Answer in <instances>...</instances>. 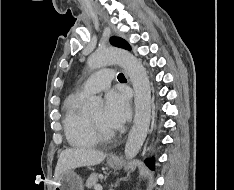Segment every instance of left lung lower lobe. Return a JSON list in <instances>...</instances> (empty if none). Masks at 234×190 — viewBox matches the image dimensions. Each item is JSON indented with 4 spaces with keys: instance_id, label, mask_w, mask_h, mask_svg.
<instances>
[{
    "instance_id": "1",
    "label": "left lung lower lobe",
    "mask_w": 234,
    "mask_h": 190,
    "mask_svg": "<svg viewBox=\"0 0 234 190\" xmlns=\"http://www.w3.org/2000/svg\"><path fill=\"white\" fill-rule=\"evenodd\" d=\"M147 163V165L152 169L154 170V159H150V160H146L145 161Z\"/></svg>"
}]
</instances>
